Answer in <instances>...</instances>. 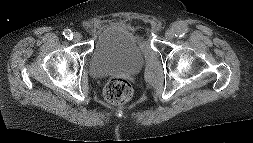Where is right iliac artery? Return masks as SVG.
Segmentation results:
<instances>
[{
    "instance_id": "82829eb1",
    "label": "right iliac artery",
    "mask_w": 253,
    "mask_h": 143,
    "mask_svg": "<svg viewBox=\"0 0 253 143\" xmlns=\"http://www.w3.org/2000/svg\"><path fill=\"white\" fill-rule=\"evenodd\" d=\"M63 35L67 38V39H71L73 37V34L71 32V30L69 29H65L63 32Z\"/></svg>"
}]
</instances>
